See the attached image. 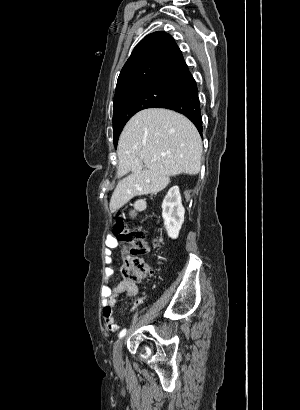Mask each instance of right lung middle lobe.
<instances>
[{"label": "right lung middle lobe", "mask_w": 300, "mask_h": 410, "mask_svg": "<svg viewBox=\"0 0 300 410\" xmlns=\"http://www.w3.org/2000/svg\"><path fill=\"white\" fill-rule=\"evenodd\" d=\"M187 85L188 83L175 81L135 85L115 96L113 103L115 147L124 125L135 113L146 108L161 107L177 97Z\"/></svg>", "instance_id": "obj_1"}]
</instances>
